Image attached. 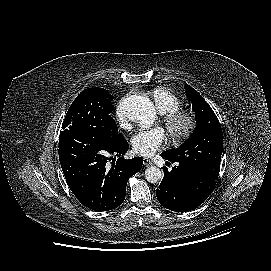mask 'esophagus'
Returning <instances> with one entry per match:
<instances>
[{"instance_id": "1", "label": "esophagus", "mask_w": 271, "mask_h": 271, "mask_svg": "<svg viewBox=\"0 0 271 271\" xmlns=\"http://www.w3.org/2000/svg\"><path fill=\"white\" fill-rule=\"evenodd\" d=\"M143 164H144V166H146V167L153 165L152 161H150V160L147 159V158H143Z\"/></svg>"}]
</instances>
